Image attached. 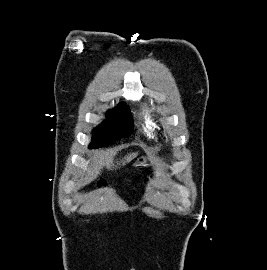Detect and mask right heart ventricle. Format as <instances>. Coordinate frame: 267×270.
I'll use <instances>...</instances> for the list:
<instances>
[{
  "instance_id": "obj_1",
  "label": "right heart ventricle",
  "mask_w": 267,
  "mask_h": 270,
  "mask_svg": "<svg viewBox=\"0 0 267 270\" xmlns=\"http://www.w3.org/2000/svg\"><path fill=\"white\" fill-rule=\"evenodd\" d=\"M144 131L150 138H155L161 130V127L156 118L149 112L143 114Z\"/></svg>"
}]
</instances>
